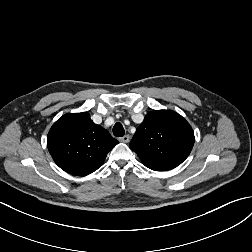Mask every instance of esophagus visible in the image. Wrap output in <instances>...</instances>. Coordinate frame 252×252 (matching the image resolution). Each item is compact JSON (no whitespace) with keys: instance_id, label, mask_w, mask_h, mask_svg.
I'll return each mask as SVG.
<instances>
[{"instance_id":"1","label":"esophagus","mask_w":252,"mask_h":252,"mask_svg":"<svg viewBox=\"0 0 252 252\" xmlns=\"http://www.w3.org/2000/svg\"><path fill=\"white\" fill-rule=\"evenodd\" d=\"M121 142L128 143L130 141V136L125 135L119 139Z\"/></svg>"}]
</instances>
